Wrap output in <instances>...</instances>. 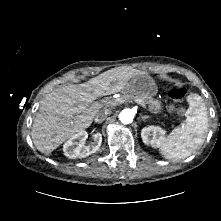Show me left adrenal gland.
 Returning <instances> with one entry per match:
<instances>
[{
    "instance_id": "a2214340",
    "label": "left adrenal gland",
    "mask_w": 221,
    "mask_h": 221,
    "mask_svg": "<svg viewBox=\"0 0 221 221\" xmlns=\"http://www.w3.org/2000/svg\"><path fill=\"white\" fill-rule=\"evenodd\" d=\"M141 118L143 119V121H145V119H148L149 116L148 115H144V116H141Z\"/></svg>"
}]
</instances>
